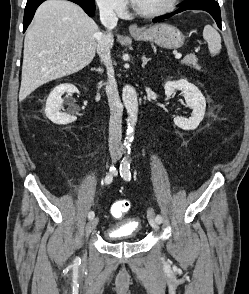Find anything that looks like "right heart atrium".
I'll return each instance as SVG.
<instances>
[{
  "instance_id": "1",
  "label": "right heart atrium",
  "mask_w": 249,
  "mask_h": 294,
  "mask_svg": "<svg viewBox=\"0 0 249 294\" xmlns=\"http://www.w3.org/2000/svg\"><path fill=\"white\" fill-rule=\"evenodd\" d=\"M95 2L101 10L117 15H123L127 8L126 0H95Z\"/></svg>"
}]
</instances>
